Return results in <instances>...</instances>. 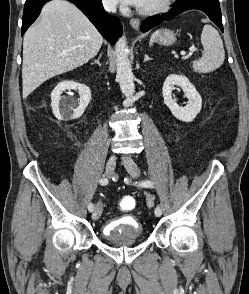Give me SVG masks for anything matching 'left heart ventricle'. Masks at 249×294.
Here are the masks:
<instances>
[{
  "instance_id": "1",
  "label": "left heart ventricle",
  "mask_w": 249,
  "mask_h": 294,
  "mask_svg": "<svg viewBox=\"0 0 249 294\" xmlns=\"http://www.w3.org/2000/svg\"><path fill=\"white\" fill-rule=\"evenodd\" d=\"M163 1L164 0H144L140 8L146 9V8L154 7Z\"/></svg>"
}]
</instances>
